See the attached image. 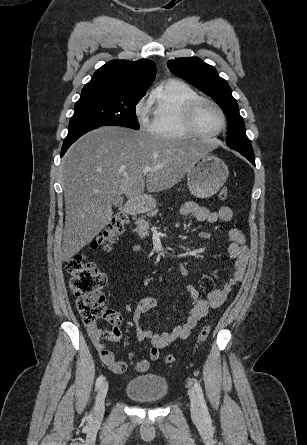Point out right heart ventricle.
I'll return each mask as SVG.
<instances>
[{
    "instance_id": "e07e8e85",
    "label": "right heart ventricle",
    "mask_w": 307,
    "mask_h": 445,
    "mask_svg": "<svg viewBox=\"0 0 307 445\" xmlns=\"http://www.w3.org/2000/svg\"><path fill=\"white\" fill-rule=\"evenodd\" d=\"M196 97L191 87L177 81L161 83L153 90L145 106L153 113L151 130L160 136L159 140L192 139L184 110Z\"/></svg>"
}]
</instances>
